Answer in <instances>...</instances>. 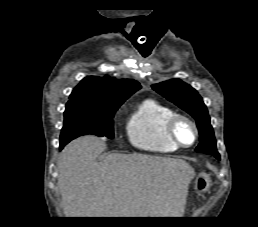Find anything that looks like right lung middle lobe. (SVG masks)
<instances>
[{
  "mask_svg": "<svg viewBox=\"0 0 258 227\" xmlns=\"http://www.w3.org/2000/svg\"><path fill=\"white\" fill-rule=\"evenodd\" d=\"M117 106L96 107L78 103H67L60 143H68L82 135H96L113 139V120Z\"/></svg>",
  "mask_w": 258,
  "mask_h": 227,
  "instance_id": "1",
  "label": "right lung middle lobe"
}]
</instances>
